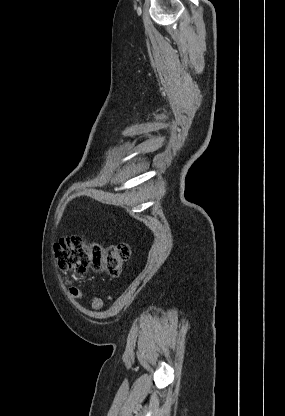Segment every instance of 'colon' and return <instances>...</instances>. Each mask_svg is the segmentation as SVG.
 Listing matches in <instances>:
<instances>
[{"mask_svg":"<svg viewBox=\"0 0 285 416\" xmlns=\"http://www.w3.org/2000/svg\"><path fill=\"white\" fill-rule=\"evenodd\" d=\"M55 255L66 273L83 275L92 270L119 277L129 259L130 248L125 243L106 245L101 240L74 235L56 243Z\"/></svg>","mask_w":285,"mask_h":416,"instance_id":"obj_1","label":"colon"}]
</instances>
